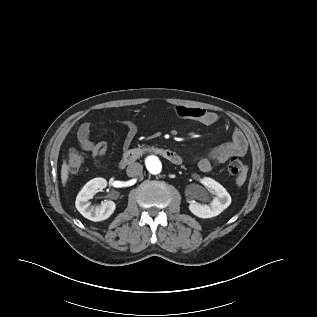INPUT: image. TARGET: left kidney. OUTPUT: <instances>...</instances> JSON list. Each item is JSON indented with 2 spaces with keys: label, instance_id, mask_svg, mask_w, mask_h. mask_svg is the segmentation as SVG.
I'll return each mask as SVG.
<instances>
[{
  "label": "left kidney",
  "instance_id": "1",
  "mask_svg": "<svg viewBox=\"0 0 317 317\" xmlns=\"http://www.w3.org/2000/svg\"><path fill=\"white\" fill-rule=\"evenodd\" d=\"M201 183L215 195V198L209 204L192 201L189 205V210L199 218L215 217L231 204V196L220 183L212 178L204 177Z\"/></svg>",
  "mask_w": 317,
  "mask_h": 317
}]
</instances>
